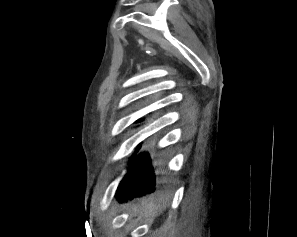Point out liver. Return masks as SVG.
Returning a JSON list of instances; mask_svg holds the SVG:
<instances>
[{"label":"liver","mask_w":297,"mask_h":237,"mask_svg":"<svg viewBox=\"0 0 297 237\" xmlns=\"http://www.w3.org/2000/svg\"><path fill=\"white\" fill-rule=\"evenodd\" d=\"M163 209L158 208V206L151 199H148V200L142 199L139 207H136V206L132 207V210L134 212H139L140 215L145 217L146 221L150 223L153 222V219L155 217H157L162 213Z\"/></svg>","instance_id":"obj_1"}]
</instances>
